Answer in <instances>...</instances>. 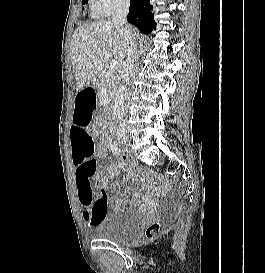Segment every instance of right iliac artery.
Listing matches in <instances>:
<instances>
[{"mask_svg": "<svg viewBox=\"0 0 265 273\" xmlns=\"http://www.w3.org/2000/svg\"><path fill=\"white\" fill-rule=\"evenodd\" d=\"M111 150L114 154H117L119 155L120 152H121V149H120V146L118 145V143L114 142L112 145H111Z\"/></svg>", "mask_w": 265, "mask_h": 273, "instance_id": "1", "label": "right iliac artery"}]
</instances>
